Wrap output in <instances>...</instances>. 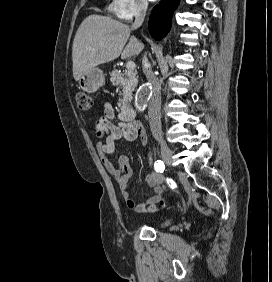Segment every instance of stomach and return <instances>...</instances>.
<instances>
[{"label":"stomach","instance_id":"1","mask_svg":"<svg viewBox=\"0 0 272 282\" xmlns=\"http://www.w3.org/2000/svg\"><path fill=\"white\" fill-rule=\"evenodd\" d=\"M105 83L103 72L99 68H92L79 79V87L88 93L96 92Z\"/></svg>","mask_w":272,"mask_h":282}]
</instances>
